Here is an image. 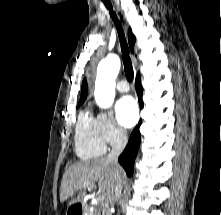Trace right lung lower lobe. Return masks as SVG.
<instances>
[{"label": "right lung lower lobe", "mask_w": 221, "mask_h": 215, "mask_svg": "<svg viewBox=\"0 0 221 215\" xmlns=\"http://www.w3.org/2000/svg\"><path fill=\"white\" fill-rule=\"evenodd\" d=\"M136 91L138 94L140 108L142 109L143 108V101H142L143 88L141 86V81L139 77L136 78ZM140 125H141V121L131 133L125 150L118 158L119 163L123 166L128 176H131L133 174L134 160L137 155V151H138L140 139H141V135L139 132Z\"/></svg>", "instance_id": "obj_1"}]
</instances>
